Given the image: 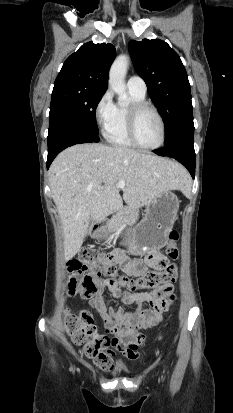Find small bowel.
Wrapping results in <instances>:
<instances>
[{
	"label": "small bowel",
	"instance_id": "c3829d8e",
	"mask_svg": "<svg viewBox=\"0 0 233 413\" xmlns=\"http://www.w3.org/2000/svg\"><path fill=\"white\" fill-rule=\"evenodd\" d=\"M122 247H115L111 253L113 259L118 261L119 270L126 276H139L149 268L161 269L168 263L167 258L154 249L147 251L145 261L136 260L133 255L123 256ZM108 289L114 298L122 304H134L135 309L125 311L122 307H107L103 292ZM174 285L171 283L140 293H122L118 283L103 280L99 284L98 292L89 300L90 306L100 315L106 331L113 335L112 346L130 360L137 359L138 349L144 344L145 335L140 329L156 326L163 319L164 312L171 303L176 302L173 295ZM148 303L153 306L151 310H144L142 305Z\"/></svg>",
	"mask_w": 233,
	"mask_h": 413
}]
</instances>
